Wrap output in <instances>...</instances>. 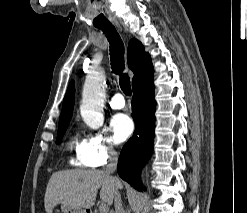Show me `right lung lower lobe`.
I'll list each match as a JSON object with an SVG mask.
<instances>
[{
	"instance_id": "1",
	"label": "right lung lower lobe",
	"mask_w": 247,
	"mask_h": 213,
	"mask_svg": "<svg viewBox=\"0 0 247 213\" xmlns=\"http://www.w3.org/2000/svg\"><path fill=\"white\" fill-rule=\"evenodd\" d=\"M132 117L135 122L133 136L124 145L118 174L137 190H142L140 171L149 159L154 144L155 106L153 74L132 86Z\"/></svg>"
}]
</instances>
